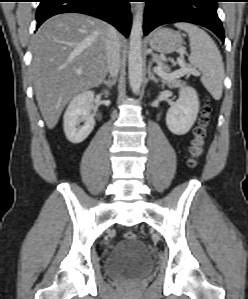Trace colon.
Returning a JSON list of instances; mask_svg holds the SVG:
<instances>
[{
    "instance_id": "obj_1",
    "label": "colon",
    "mask_w": 248,
    "mask_h": 299,
    "mask_svg": "<svg viewBox=\"0 0 248 299\" xmlns=\"http://www.w3.org/2000/svg\"><path fill=\"white\" fill-rule=\"evenodd\" d=\"M211 114L212 108L210 105V99L206 97L199 118L198 126L194 130V139L190 148L191 159L189 161V165L191 167H194L196 165V160L204 153L207 129L210 124ZM123 236L126 240H135L137 238L136 233H134L133 231H126Z\"/></svg>"
}]
</instances>
